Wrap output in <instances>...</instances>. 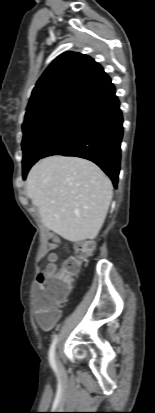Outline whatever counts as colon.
Here are the masks:
<instances>
[{"label":"colon","mask_w":155,"mask_h":413,"mask_svg":"<svg viewBox=\"0 0 155 413\" xmlns=\"http://www.w3.org/2000/svg\"><path fill=\"white\" fill-rule=\"evenodd\" d=\"M94 243L80 242L75 247V254L68 256L61 267L57 264L56 255H51L39 283L43 284L44 291L39 296L36 307L44 311H54L58 303L70 290L73 278L78 274L81 266L92 254Z\"/></svg>","instance_id":"obj_1"}]
</instances>
